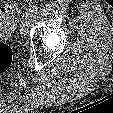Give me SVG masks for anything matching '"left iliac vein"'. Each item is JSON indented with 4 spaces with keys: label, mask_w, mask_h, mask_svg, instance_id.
I'll list each match as a JSON object with an SVG mask.
<instances>
[{
    "label": "left iliac vein",
    "mask_w": 113,
    "mask_h": 113,
    "mask_svg": "<svg viewBox=\"0 0 113 113\" xmlns=\"http://www.w3.org/2000/svg\"><path fill=\"white\" fill-rule=\"evenodd\" d=\"M32 15L30 12H26L23 18L22 24L20 26L21 35H25L28 32V25Z\"/></svg>",
    "instance_id": "left-iliac-vein-1"
}]
</instances>
